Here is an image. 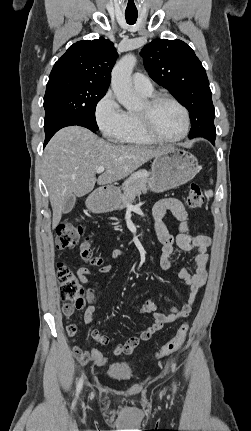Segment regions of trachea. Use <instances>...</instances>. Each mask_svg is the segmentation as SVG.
Segmentation results:
<instances>
[{
  "mask_svg": "<svg viewBox=\"0 0 251 431\" xmlns=\"http://www.w3.org/2000/svg\"><path fill=\"white\" fill-rule=\"evenodd\" d=\"M137 17H138V14H125L126 22L129 25L135 24Z\"/></svg>",
  "mask_w": 251,
  "mask_h": 431,
  "instance_id": "1",
  "label": "trachea"
}]
</instances>
